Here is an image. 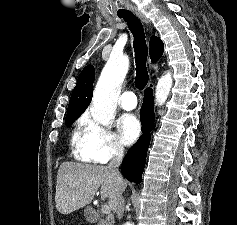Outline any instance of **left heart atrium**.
I'll return each instance as SVG.
<instances>
[{"label":"left heart atrium","mask_w":237,"mask_h":225,"mask_svg":"<svg viewBox=\"0 0 237 225\" xmlns=\"http://www.w3.org/2000/svg\"><path fill=\"white\" fill-rule=\"evenodd\" d=\"M118 128L122 141L126 145L134 143L141 133V126L133 114H124L118 120Z\"/></svg>","instance_id":"1"}]
</instances>
